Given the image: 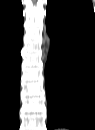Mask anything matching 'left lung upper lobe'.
<instances>
[{
	"label": "left lung upper lobe",
	"mask_w": 95,
	"mask_h": 130,
	"mask_svg": "<svg viewBox=\"0 0 95 130\" xmlns=\"http://www.w3.org/2000/svg\"><path fill=\"white\" fill-rule=\"evenodd\" d=\"M47 13L53 16H81L95 21L93 6L89 0H48Z\"/></svg>",
	"instance_id": "5c2ea615"
}]
</instances>
